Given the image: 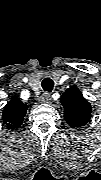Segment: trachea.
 Masks as SVG:
<instances>
[{"label":"trachea","instance_id":"1","mask_svg":"<svg viewBox=\"0 0 101 180\" xmlns=\"http://www.w3.org/2000/svg\"><path fill=\"white\" fill-rule=\"evenodd\" d=\"M41 86L45 92H51L54 87V82L52 79L47 77L42 81Z\"/></svg>","mask_w":101,"mask_h":180}]
</instances>
